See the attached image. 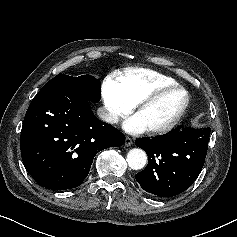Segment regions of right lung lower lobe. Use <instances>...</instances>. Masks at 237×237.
<instances>
[{
    "label": "right lung lower lobe",
    "instance_id": "right-lung-lower-lobe-1",
    "mask_svg": "<svg viewBox=\"0 0 237 237\" xmlns=\"http://www.w3.org/2000/svg\"><path fill=\"white\" fill-rule=\"evenodd\" d=\"M124 142L121 132L93 114L88 99L67 89L39 91L28 107L20 138L26 170L53 190L78 187L98 152Z\"/></svg>",
    "mask_w": 237,
    "mask_h": 237
}]
</instances>
